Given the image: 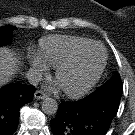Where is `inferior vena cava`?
<instances>
[{"label": "inferior vena cava", "mask_w": 135, "mask_h": 135, "mask_svg": "<svg viewBox=\"0 0 135 135\" xmlns=\"http://www.w3.org/2000/svg\"><path fill=\"white\" fill-rule=\"evenodd\" d=\"M27 79L31 85H38L42 79V75L35 70H30L27 72Z\"/></svg>", "instance_id": "1"}]
</instances>
